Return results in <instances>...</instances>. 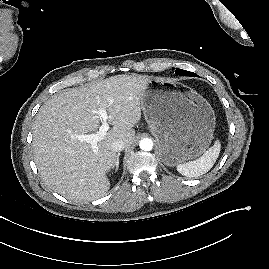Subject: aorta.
<instances>
[{
	"instance_id": "762f6f07",
	"label": "aorta",
	"mask_w": 269,
	"mask_h": 269,
	"mask_svg": "<svg viewBox=\"0 0 269 269\" xmlns=\"http://www.w3.org/2000/svg\"><path fill=\"white\" fill-rule=\"evenodd\" d=\"M139 147L143 151H150L153 148V142L149 138H144L139 142Z\"/></svg>"
}]
</instances>
